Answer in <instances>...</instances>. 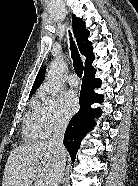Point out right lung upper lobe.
Segmentation results:
<instances>
[{"instance_id":"right-lung-upper-lobe-1","label":"right lung upper lobe","mask_w":138,"mask_h":186,"mask_svg":"<svg viewBox=\"0 0 138 186\" xmlns=\"http://www.w3.org/2000/svg\"><path fill=\"white\" fill-rule=\"evenodd\" d=\"M72 27H73L74 35L80 53L86 57L84 74L85 73L94 74L96 70L93 68L92 62L95 56L93 54V47L91 46V42L88 41L90 32L86 29L84 21L79 19L75 15H73L72 17ZM44 76H45V67L39 70L35 82L33 84V87L31 89L30 95H32L37 90V88L41 85Z\"/></svg>"}]
</instances>
